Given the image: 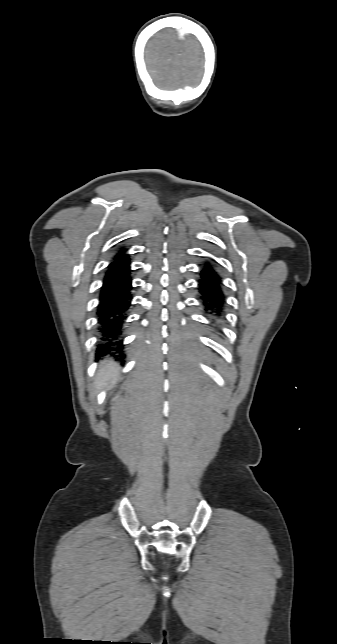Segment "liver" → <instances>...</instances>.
I'll return each instance as SVG.
<instances>
[{
    "mask_svg": "<svg viewBox=\"0 0 337 644\" xmlns=\"http://www.w3.org/2000/svg\"><path fill=\"white\" fill-rule=\"evenodd\" d=\"M120 367L112 360H107L100 367L94 382L93 394H97L103 389L111 388L116 384L119 377Z\"/></svg>",
    "mask_w": 337,
    "mask_h": 644,
    "instance_id": "6515ba94",
    "label": "liver"
}]
</instances>
